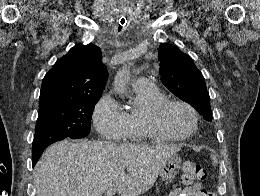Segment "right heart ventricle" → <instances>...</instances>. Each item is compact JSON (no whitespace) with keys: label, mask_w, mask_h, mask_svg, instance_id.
Masks as SVG:
<instances>
[{"label":"right heart ventricle","mask_w":260,"mask_h":196,"mask_svg":"<svg viewBox=\"0 0 260 196\" xmlns=\"http://www.w3.org/2000/svg\"><path fill=\"white\" fill-rule=\"evenodd\" d=\"M135 99L139 101L138 109L128 111V129L138 130L139 134L124 140V143H139L147 140L158 139L148 132L141 123L142 113L154 103L165 99V95L154 85H132Z\"/></svg>","instance_id":"e07e8e85"}]
</instances>
